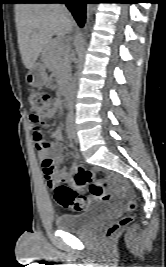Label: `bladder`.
Here are the masks:
<instances>
[{
  "mask_svg": "<svg viewBox=\"0 0 166 267\" xmlns=\"http://www.w3.org/2000/svg\"><path fill=\"white\" fill-rule=\"evenodd\" d=\"M98 220V212L89 211L80 214H62L56 219L58 229L79 232L87 229Z\"/></svg>",
  "mask_w": 166,
  "mask_h": 267,
  "instance_id": "obj_1",
  "label": "bladder"
}]
</instances>
